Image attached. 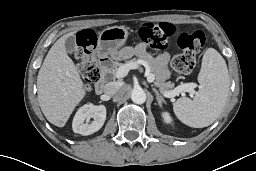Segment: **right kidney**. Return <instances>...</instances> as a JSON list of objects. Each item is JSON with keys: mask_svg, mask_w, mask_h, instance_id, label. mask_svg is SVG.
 Listing matches in <instances>:
<instances>
[{"mask_svg": "<svg viewBox=\"0 0 256 171\" xmlns=\"http://www.w3.org/2000/svg\"><path fill=\"white\" fill-rule=\"evenodd\" d=\"M90 117H94L91 124L84 123ZM106 120V107L104 105L85 104L75 114L72 128L75 133L90 135L97 132Z\"/></svg>", "mask_w": 256, "mask_h": 171, "instance_id": "right-kidney-1", "label": "right kidney"}]
</instances>
